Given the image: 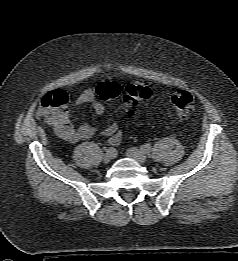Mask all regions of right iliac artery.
Instances as JSON below:
<instances>
[{
	"instance_id": "82829eb1",
	"label": "right iliac artery",
	"mask_w": 238,
	"mask_h": 261,
	"mask_svg": "<svg viewBox=\"0 0 238 261\" xmlns=\"http://www.w3.org/2000/svg\"><path fill=\"white\" fill-rule=\"evenodd\" d=\"M106 152L108 154H113V155H116L118 153V150L117 149H113V148H107L106 149Z\"/></svg>"
}]
</instances>
